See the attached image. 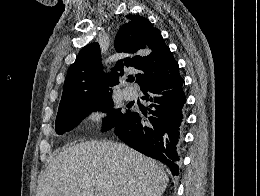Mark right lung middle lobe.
<instances>
[{"instance_id":"obj_1","label":"right lung middle lobe","mask_w":260,"mask_h":196,"mask_svg":"<svg viewBox=\"0 0 260 196\" xmlns=\"http://www.w3.org/2000/svg\"><path fill=\"white\" fill-rule=\"evenodd\" d=\"M111 93H100L91 95L75 101L71 105L58 111L55 123L57 134H64L72 130L90 112L100 110L108 116L103 119L102 131H107L124 122L131 114L130 110L121 111L114 109Z\"/></svg>"}]
</instances>
